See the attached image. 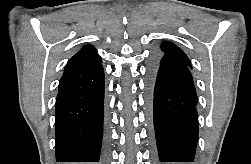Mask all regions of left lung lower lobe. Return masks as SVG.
I'll use <instances>...</instances> for the list:
<instances>
[{"instance_id":"1","label":"left lung lower lobe","mask_w":251,"mask_h":164,"mask_svg":"<svg viewBox=\"0 0 251 164\" xmlns=\"http://www.w3.org/2000/svg\"><path fill=\"white\" fill-rule=\"evenodd\" d=\"M188 65L155 55L147 75V112L156 163L195 159L197 95Z\"/></svg>"}]
</instances>
